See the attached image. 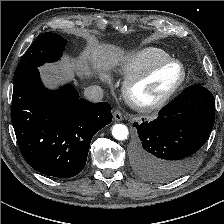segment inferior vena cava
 Wrapping results in <instances>:
<instances>
[{"instance_id":"602c4592","label":"inferior vena cava","mask_w":224,"mask_h":224,"mask_svg":"<svg viewBox=\"0 0 224 224\" xmlns=\"http://www.w3.org/2000/svg\"><path fill=\"white\" fill-rule=\"evenodd\" d=\"M103 90L100 86L92 85L84 90V96L91 102H100L103 98Z\"/></svg>"}]
</instances>
